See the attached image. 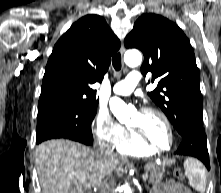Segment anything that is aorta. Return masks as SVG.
<instances>
[{"mask_svg":"<svg viewBox=\"0 0 221 193\" xmlns=\"http://www.w3.org/2000/svg\"><path fill=\"white\" fill-rule=\"evenodd\" d=\"M124 62L129 67H137L142 62V54L138 50H129L124 55ZM109 106L111 112L119 121H124L134 111L133 107L128 106L118 97H112ZM124 193H132L128 183L124 185Z\"/></svg>","mask_w":221,"mask_h":193,"instance_id":"1","label":"aorta"}]
</instances>
